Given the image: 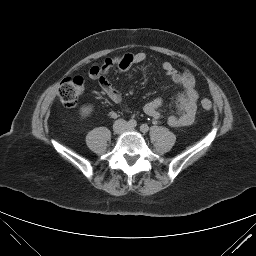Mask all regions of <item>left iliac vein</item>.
<instances>
[{
	"label": "left iliac vein",
	"mask_w": 256,
	"mask_h": 256,
	"mask_svg": "<svg viewBox=\"0 0 256 256\" xmlns=\"http://www.w3.org/2000/svg\"><path fill=\"white\" fill-rule=\"evenodd\" d=\"M127 131H134V128H132V127H127Z\"/></svg>",
	"instance_id": "obj_1"
}]
</instances>
